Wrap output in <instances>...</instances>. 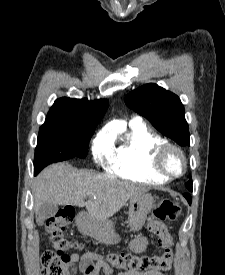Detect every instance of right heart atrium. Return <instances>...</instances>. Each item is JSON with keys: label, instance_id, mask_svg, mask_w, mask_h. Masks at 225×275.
Instances as JSON below:
<instances>
[{"label": "right heart atrium", "instance_id": "1", "mask_svg": "<svg viewBox=\"0 0 225 275\" xmlns=\"http://www.w3.org/2000/svg\"><path fill=\"white\" fill-rule=\"evenodd\" d=\"M114 150V139L107 132H100L92 142V155L96 163H103Z\"/></svg>", "mask_w": 225, "mask_h": 275}]
</instances>
